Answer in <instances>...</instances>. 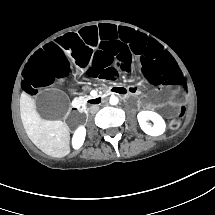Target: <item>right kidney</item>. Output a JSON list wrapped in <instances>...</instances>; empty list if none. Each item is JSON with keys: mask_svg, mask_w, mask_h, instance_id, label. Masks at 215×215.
I'll return each mask as SVG.
<instances>
[{"mask_svg": "<svg viewBox=\"0 0 215 215\" xmlns=\"http://www.w3.org/2000/svg\"><path fill=\"white\" fill-rule=\"evenodd\" d=\"M85 129L83 127L79 128L75 134H74V137H73V146L75 148H79L83 141H84V138H85Z\"/></svg>", "mask_w": 215, "mask_h": 215, "instance_id": "1", "label": "right kidney"}]
</instances>
